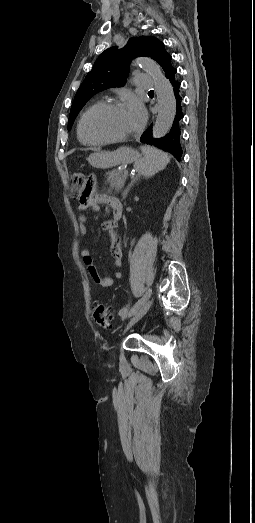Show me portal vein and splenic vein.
Here are the masks:
<instances>
[{"label": "portal vein and splenic vein", "mask_w": 255, "mask_h": 523, "mask_svg": "<svg viewBox=\"0 0 255 523\" xmlns=\"http://www.w3.org/2000/svg\"><path fill=\"white\" fill-rule=\"evenodd\" d=\"M124 174L126 176H129L131 174V171L129 169H125Z\"/></svg>", "instance_id": "obj_1"}]
</instances>
